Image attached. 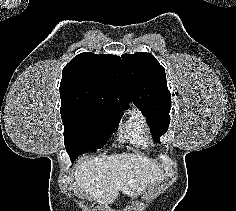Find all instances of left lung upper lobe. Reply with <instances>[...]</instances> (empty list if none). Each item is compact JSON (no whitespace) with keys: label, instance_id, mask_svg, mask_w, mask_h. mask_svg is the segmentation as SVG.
Masks as SVG:
<instances>
[{"label":"left lung upper lobe","instance_id":"obj_1","mask_svg":"<svg viewBox=\"0 0 236 211\" xmlns=\"http://www.w3.org/2000/svg\"><path fill=\"white\" fill-rule=\"evenodd\" d=\"M131 101L141 110L159 141L170 123L171 93L167 87L164 68L151 53L137 52L122 55Z\"/></svg>","mask_w":236,"mask_h":211}]
</instances>
